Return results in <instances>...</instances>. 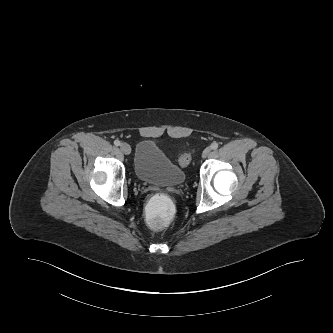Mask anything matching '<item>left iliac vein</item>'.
Returning a JSON list of instances; mask_svg holds the SVG:
<instances>
[{"label": "left iliac vein", "instance_id": "left-iliac-vein-1", "mask_svg": "<svg viewBox=\"0 0 333 333\" xmlns=\"http://www.w3.org/2000/svg\"><path fill=\"white\" fill-rule=\"evenodd\" d=\"M210 153H211V148H210V147H207V148L203 151L202 156H203L204 158H206V157L209 156Z\"/></svg>", "mask_w": 333, "mask_h": 333}]
</instances>
